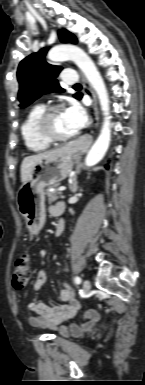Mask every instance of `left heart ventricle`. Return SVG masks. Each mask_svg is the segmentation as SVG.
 <instances>
[{"mask_svg": "<svg viewBox=\"0 0 145 385\" xmlns=\"http://www.w3.org/2000/svg\"><path fill=\"white\" fill-rule=\"evenodd\" d=\"M51 130L57 136H69L76 132L66 118L64 110L57 111L53 115Z\"/></svg>", "mask_w": 145, "mask_h": 385, "instance_id": "left-heart-ventricle-1", "label": "left heart ventricle"}]
</instances>
